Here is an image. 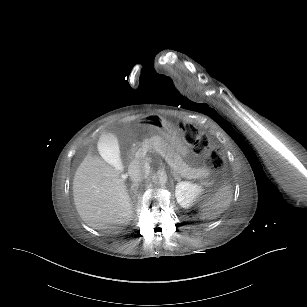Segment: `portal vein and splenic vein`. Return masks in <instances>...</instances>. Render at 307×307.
Segmentation results:
<instances>
[{
	"mask_svg": "<svg viewBox=\"0 0 307 307\" xmlns=\"http://www.w3.org/2000/svg\"><path fill=\"white\" fill-rule=\"evenodd\" d=\"M149 150L146 147L143 148H139L136 150L135 154H136V159L137 160H142L146 155H148ZM162 156L164 155L163 153L161 154ZM172 168L175 169V171L179 174L181 171L179 170V168L177 167V165L175 163H173L172 161H170L169 159L166 161ZM183 177H185L186 179H188L189 181L192 179L191 176L189 174H185L184 172L181 174Z\"/></svg>",
	"mask_w": 307,
	"mask_h": 307,
	"instance_id": "1",
	"label": "portal vein and splenic vein"
}]
</instances>
